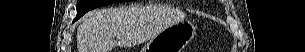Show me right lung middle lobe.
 Here are the masks:
<instances>
[{
  "label": "right lung middle lobe",
  "instance_id": "obj_1",
  "mask_svg": "<svg viewBox=\"0 0 305 52\" xmlns=\"http://www.w3.org/2000/svg\"><path fill=\"white\" fill-rule=\"evenodd\" d=\"M128 0H78L77 1V16L75 20L79 19L89 10L95 9L97 7L114 3V2H122Z\"/></svg>",
  "mask_w": 305,
  "mask_h": 52
}]
</instances>
